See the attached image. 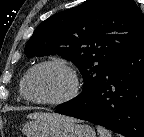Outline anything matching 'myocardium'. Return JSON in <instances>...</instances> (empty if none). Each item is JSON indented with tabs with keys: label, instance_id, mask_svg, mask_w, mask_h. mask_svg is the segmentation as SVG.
Instances as JSON below:
<instances>
[{
	"label": "myocardium",
	"instance_id": "f54148a6",
	"mask_svg": "<svg viewBox=\"0 0 144 137\" xmlns=\"http://www.w3.org/2000/svg\"><path fill=\"white\" fill-rule=\"evenodd\" d=\"M46 66L57 67V68L63 70L70 78V82H71L70 89L65 95H63L60 98L50 99V100L37 99V98L31 97L28 94L27 86H28V81H29L31 75L36 70H38L42 67H46ZM79 90H80V78H79V75H78L76 69L73 66H71L70 64H68L64 61H61V60H44V61L36 63L25 73V75L22 79V82H21L22 96L26 100H28L32 103L41 104V105L56 106V105H62V104L68 103V102L72 101L78 95Z\"/></svg>",
	"mask_w": 144,
	"mask_h": 137
}]
</instances>
